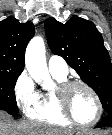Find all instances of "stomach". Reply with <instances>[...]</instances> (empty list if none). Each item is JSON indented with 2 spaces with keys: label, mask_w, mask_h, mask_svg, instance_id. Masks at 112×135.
I'll return each instance as SVG.
<instances>
[{
  "label": "stomach",
  "mask_w": 112,
  "mask_h": 135,
  "mask_svg": "<svg viewBox=\"0 0 112 135\" xmlns=\"http://www.w3.org/2000/svg\"><path fill=\"white\" fill-rule=\"evenodd\" d=\"M76 135H100V134L97 132L85 131V132H78Z\"/></svg>",
  "instance_id": "obj_1"
}]
</instances>
